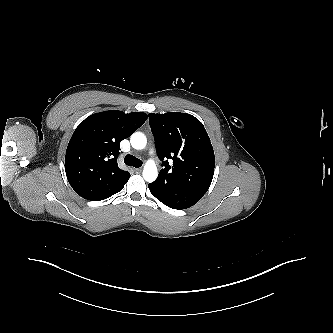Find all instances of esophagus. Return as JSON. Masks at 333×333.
<instances>
[{
	"instance_id": "esophagus-1",
	"label": "esophagus",
	"mask_w": 333,
	"mask_h": 333,
	"mask_svg": "<svg viewBox=\"0 0 333 333\" xmlns=\"http://www.w3.org/2000/svg\"><path fill=\"white\" fill-rule=\"evenodd\" d=\"M134 171L140 173L142 171V168H135Z\"/></svg>"
}]
</instances>
